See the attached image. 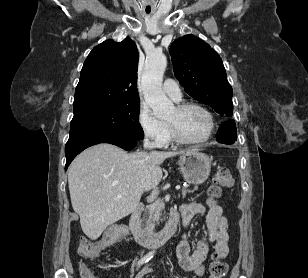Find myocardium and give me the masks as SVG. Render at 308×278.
I'll return each instance as SVG.
<instances>
[{
	"label": "myocardium",
	"instance_id": "1",
	"mask_svg": "<svg viewBox=\"0 0 308 278\" xmlns=\"http://www.w3.org/2000/svg\"><path fill=\"white\" fill-rule=\"evenodd\" d=\"M189 108H196L201 110L202 112L205 113V115L207 116L208 120H209V129L206 133V135L200 139H190L185 137L184 135H182L177 128L172 125L171 123L168 122V125L170 127L171 133L174 137V139L182 144H189V145H194V144H202L207 142L213 135L214 131H215V127H216V123H215V118L213 113L204 105L197 103V102H185V103H181L179 105L176 106L177 110H186Z\"/></svg>",
	"mask_w": 308,
	"mask_h": 278
}]
</instances>
